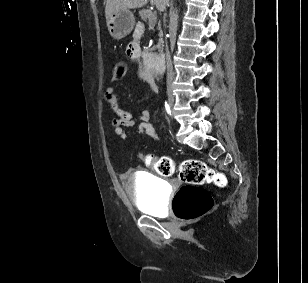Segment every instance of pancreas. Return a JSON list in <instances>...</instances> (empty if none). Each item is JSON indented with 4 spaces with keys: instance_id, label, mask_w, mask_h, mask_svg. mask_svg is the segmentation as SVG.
<instances>
[{
    "instance_id": "cf45deb5",
    "label": "pancreas",
    "mask_w": 308,
    "mask_h": 283,
    "mask_svg": "<svg viewBox=\"0 0 308 283\" xmlns=\"http://www.w3.org/2000/svg\"><path fill=\"white\" fill-rule=\"evenodd\" d=\"M139 15L143 21H148L149 26L152 28L156 24V14L148 9H143L139 12ZM160 27V25H159ZM158 49H163V41L160 40L158 44Z\"/></svg>"
}]
</instances>
